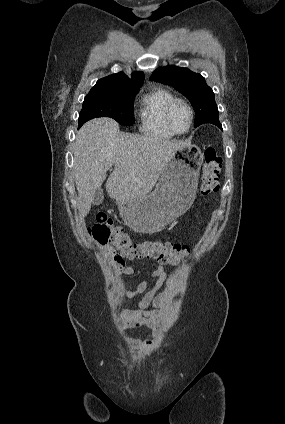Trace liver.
I'll return each instance as SVG.
<instances>
[{"label":"liver","instance_id":"1","mask_svg":"<svg viewBox=\"0 0 285 424\" xmlns=\"http://www.w3.org/2000/svg\"><path fill=\"white\" fill-rule=\"evenodd\" d=\"M186 142L164 140L151 135L122 133L110 118L85 123L76 133L74 174L79 214L85 217L93 203V192L106 182L110 198L120 202L139 199L156 185L172 154Z\"/></svg>","mask_w":285,"mask_h":424}]
</instances>
